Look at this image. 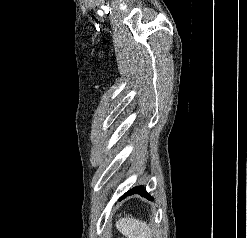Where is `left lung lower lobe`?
Wrapping results in <instances>:
<instances>
[{
	"instance_id": "1",
	"label": "left lung lower lobe",
	"mask_w": 247,
	"mask_h": 238,
	"mask_svg": "<svg viewBox=\"0 0 247 238\" xmlns=\"http://www.w3.org/2000/svg\"><path fill=\"white\" fill-rule=\"evenodd\" d=\"M141 194V196H144V197H148V198H151L152 199V197L146 192V190L144 189V188H142V187H135V188H133V189H131V190H129L126 194H124L121 198H124L125 196H127V195H132V194ZM120 198V199H121Z\"/></svg>"
}]
</instances>
